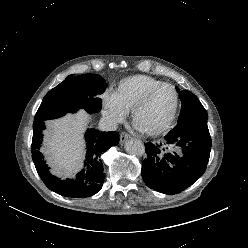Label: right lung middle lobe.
I'll use <instances>...</instances> for the list:
<instances>
[{"label": "right lung middle lobe", "mask_w": 248, "mask_h": 248, "mask_svg": "<svg viewBox=\"0 0 248 248\" xmlns=\"http://www.w3.org/2000/svg\"><path fill=\"white\" fill-rule=\"evenodd\" d=\"M106 82L97 74L69 75L44 97L35 121L55 119L84 108L88 113H97L102 108L98 97L104 92Z\"/></svg>", "instance_id": "right-lung-middle-lobe-1"}]
</instances>
